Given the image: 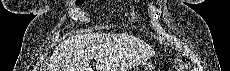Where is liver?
I'll return each mask as SVG.
<instances>
[{
  "instance_id": "1",
  "label": "liver",
  "mask_w": 230,
  "mask_h": 71,
  "mask_svg": "<svg viewBox=\"0 0 230 71\" xmlns=\"http://www.w3.org/2000/svg\"><path fill=\"white\" fill-rule=\"evenodd\" d=\"M154 54L150 46L130 35L76 34L55 48L47 71H93V58L96 71H127Z\"/></svg>"
}]
</instances>
